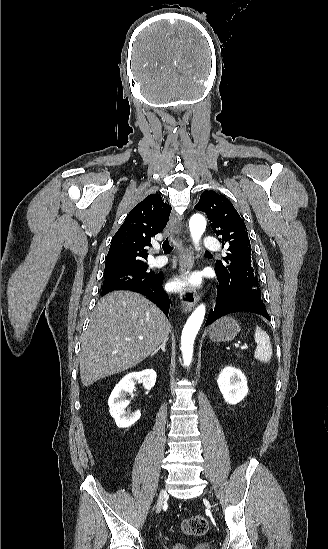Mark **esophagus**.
<instances>
[{"label": "esophagus", "instance_id": "esophagus-1", "mask_svg": "<svg viewBox=\"0 0 328 549\" xmlns=\"http://www.w3.org/2000/svg\"><path fill=\"white\" fill-rule=\"evenodd\" d=\"M169 226L172 234H175L180 230V226L172 221H170ZM179 250H180L179 278L181 280H185L189 277V275L192 272L193 265H194V257L190 247L180 246ZM178 295L183 307L188 311H190L199 300V297L196 291L192 287L182 288L179 291Z\"/></svg>", "mask_w": 328, "mask_h": 549}]
</instances>
